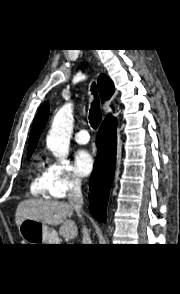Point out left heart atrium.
Segmentation results:
<instances>
[{"mask_svg": "<svg viewBox=\"0 0 180 294\" xmlns=\"http://www.w3.org/2000/svg\"><path fill=\"white\" fill-rule=\"evenodd\" d=\"M94 166V159L87 150H79L74 158V171L78 176L89 175Z\"/></svg>", "mask_w": 180, "mask_h": 294, "instance_id": "obj_1", "label": "left heart atrium"}]
</instances>
